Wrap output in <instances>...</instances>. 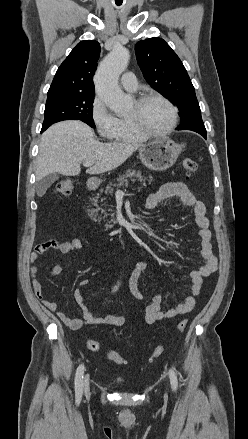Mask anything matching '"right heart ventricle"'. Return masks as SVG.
I'll list each match as a JSON object with an SVG mask.
<instances>
[{"instance_id":"obj_1","label":"right heart ventricle","mask_w":248,"mask_h":439,"mask_svg":"<svg viewBox=\"0 0 248 439\" xmlns=\"http://www.w3.org/2000/svg\"><path fill=\"white\" fill-rule=\"evenodd\" d=\"M146 138L134 129L127 116L118 118L117 129L111 139L117 143H140L145 141Z\"/></svg>"}]
</instances>
